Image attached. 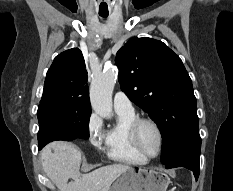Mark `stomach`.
I'll use <instances>...</instances> for the list:
<instances>
[{"instance_id": "1", "label": "stomach", "mask_w": 233, "mask_h": 191, "mask_svg": "<svg viewBox=\"0 0 233 191\" xmlns=\"http://www.w3.org/2000/svg\"><path fill=\"white\" fill-rule=\"evenodd\" d=\"M170 178L163 172L142 167H129L102 191H166Z\"/></svg>"}]
</instances>
